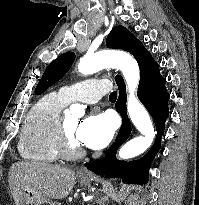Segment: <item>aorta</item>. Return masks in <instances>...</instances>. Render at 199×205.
Returning a JSON list of instances; mask_svg holds the SVG:
<instances>
[{"instance_id": "aorta-1", "label": "aorta", "mask_w": 199, "mask_h": 205, "mask_svg": "<svg viewBox=\"0 0 199 205\" xmlns=\"http://www.w3.org/2000/svg\"><path fill=\"white\" fill-rule=\"evenodd\" d=\"M109 67L122 71L128 90V114L132 123L142 134L120 148L119 157L129 159L144 153L151 146L155 137L150 116L136 97V89L140 79L137 61L126 52L104 50L84 55L78 64V71L83 75H89ZM70 112L74 115H82L84 109L78 104H73L70 107Z\"/></svg>"}]
</instances>
